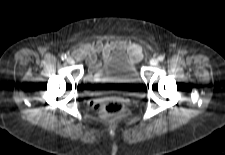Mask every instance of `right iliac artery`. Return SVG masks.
Returning <instances> with one entry per match:
<instances>
[{"label":"right iliac artery","instance_id":"obj_1","mask_svg":"<svg viewBox=\"0 0 225 155\" xmlns=\"http://www.w3.org/2000/svg\"><path fill=\"white\" fill-rule=\"evenodd\" d=\"M66 58H67V56H66L65 54H62V55H61V59H62V60H65Z\"/></svg>","mask_w":225,"mask_h":155}]
</instances>
